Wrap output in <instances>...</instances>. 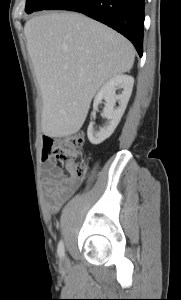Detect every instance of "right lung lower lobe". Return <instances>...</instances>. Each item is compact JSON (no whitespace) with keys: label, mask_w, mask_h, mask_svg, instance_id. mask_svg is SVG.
<instances>
[{"label":"right lung lower lobe","mask_w":181,"mask_h":300,"mask_svg":"<svg viewBox=\"0 0 181 300\" xmlns=\"http://www.w3.org/2000/svg\"><path fill=\"white\" fill-rule=\"evenodd\" d=\"M45 10L83 13L120 32L143 54L144 0H55Z\"/></svg>","instance_id":"obj_1"}]
</instances>
